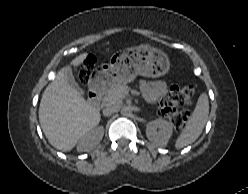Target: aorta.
Wrapping results in <instances>:
<instances>
[{"mask_svg": "<svg viewBox=\"0 0 248 194\" xmlns=\"http://www.w3.org/2000/svg\"><path fill=\"white\" fill-rule=\"evenodd\" d=\"M121 113L125 117H130L132 115V109L130 107H124Z\"/></svg>", "mask_w": 248, "mask_h": 194, "instance_id": "aorta-1", "label": "aorta"}]
</instances>
